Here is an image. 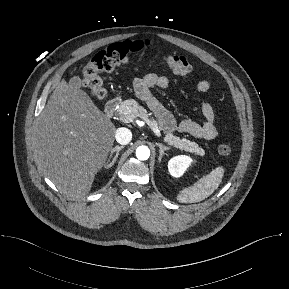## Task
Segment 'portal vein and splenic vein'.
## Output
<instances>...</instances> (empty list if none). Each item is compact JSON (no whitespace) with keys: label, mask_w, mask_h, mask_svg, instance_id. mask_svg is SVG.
I'll return each instance as SVG.
<instances>
[{"label":"portal vein and splenic vein","mask_w":289,"mask_h":289,"mask_svg":"<svg viewBox=\"0 0 289 289\" xmlns=\"http://www.w3.org/2000/svg\"><path fill=\"white\" fill-rule=\"evenodd\" d=\"M133 118L132 116H125V117H121V120L124 122V123H130V122H133ZM143 120H145V122L150 126V128L152 129V131L155 133L156 136L160 137L161 136V132L157 126V124L148 119V118H143Z\"/></svg>","instance_id":"18ae733b"}]
</instances>
